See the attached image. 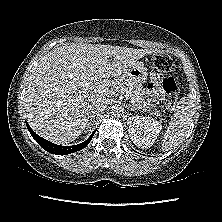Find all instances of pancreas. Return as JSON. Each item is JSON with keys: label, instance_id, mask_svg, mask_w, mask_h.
<instances>
[{"label": "pancreas", "instance_id": "pancreas-1", "mask_svg": "<svg viewBox=\"0 0 222 222\" xmlns=\"http://www.w3.org/2000/svg\"><path fill=\"white\" fill-rule=\"evenodd\" d=\"M117 87L122 91L124 89L129 92V98L137 108L142 107L143 104L142 98L145 91L141 86H137L129 80H119L117 82ZM156 114L159 115V112H156Z\"/></svg>", "mask_w": 222, "mask_h": 222}]
</instances>
